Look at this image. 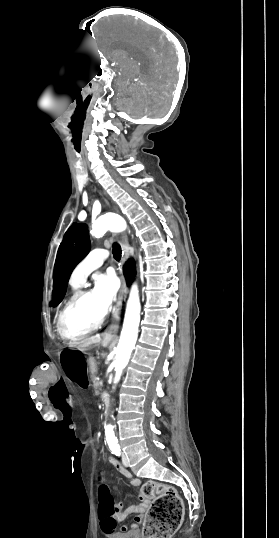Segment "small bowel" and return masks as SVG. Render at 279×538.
Returning a JSON list of instances; mask_svg holds the SVG:
<instances>
[{"label":"small bowel","mask_w":279,"mask_h":538,"mask_svg":"<svg viewBox=\"0 0 279 538\" xmlns=\"http://www.w3.org/2000/svg\"><path fill=\"white\" fill-rule=\"evenodd\" d=\"M109 463L113 465L119 473H121L123 476L129 479V482L132 486H139L141 484L140 479L133 478L131 473L124 468L117 460L113 458L108 459ZM141 503L136 504H130L128 507L123 509V504L119 503L116 506V514L111 518H102L101 521V527L103 532L109 533L116 529L119 523L124 521L129 515L135 514L134 522L131 524L130 527L127 525H122L120 527V530L122 532H127L129 530H136L139 526V524L142 522L145 511L148 508V501L147 499L141 494L140 496Z\"/></svg>","instance_id":"obj_1"}]
</instances>
